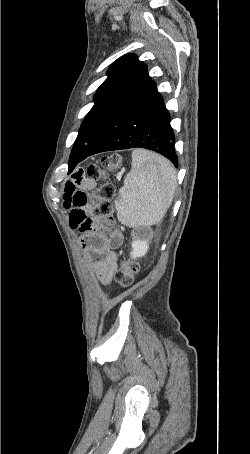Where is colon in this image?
<instances>
[{"label":"colon","instance_id":"5ec220e1","mask_svg":"<svg viewBox=\"0 0 250 454\" xmlns=\"http://www.w3.org/2000/svg\"><path fill=\"white\" fill-rule=\"evenodd\" d=\"M121 165V156L112 154L102 157L99 164H92L86 170V175L101 185L95 195L97 203L91 208L90 216L94 220L110 226L113 223L111 200L115 193L113 184L109 181L112 173L118 171ZM139 263L135 260L126 258L122 260L120 268L115 272V279L121 286H129L137 277Z\"/></svg>","mask_w":250,"mask_h":454}]
</instances>
